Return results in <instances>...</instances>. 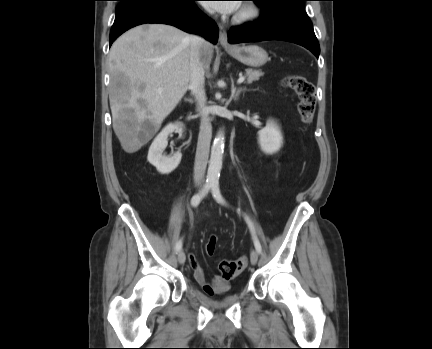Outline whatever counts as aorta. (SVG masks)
I'll return each instance as SVG.
<instances>
[{"label":"aorta","instance_id":"1","mask_svg":"<svg viewBox=\"0 0 432 349\" xmlns=\"http://www.w3.org/2000/svg\"><path fill=\"white\" fill-rule=\"evenodd\" d=\"M224 145H225L224 131L220 130L217 133L211 148V155H210L208 172H207V180L209 182H216L219 180L220 172L222 169Z\"/></svg>","mask_w":432,"mask_h":349}]
</instances>
